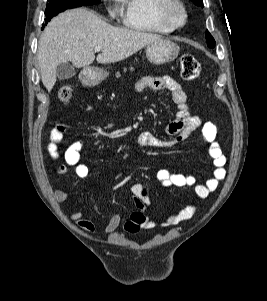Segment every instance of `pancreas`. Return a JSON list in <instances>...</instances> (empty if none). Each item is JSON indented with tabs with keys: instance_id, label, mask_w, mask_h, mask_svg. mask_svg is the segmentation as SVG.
<instances>
[{
	"instance_id": "1",
	"label": "pancreas",
	"mask_w": 267,
	"mask_h": 301,
	"mask_svg": "<svg viewBox=\"0 0 267 301\" xmlns=\"http://www.w3.org/2000/svg\"><path fill=\"white\" fill-rule=\"evenodd\" d=\"M124 71H126V69H124ZM117 77H121V74H120V72H117Z\"/></svg>"
}]
</instances>
